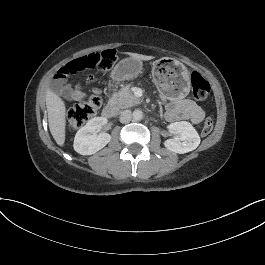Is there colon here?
Here are the masks:
<instances>
[{
  "label": "colon",
  "instance_id": "obj_1",
  "mask_svg": "<svg viewBox=\"0 0 265 265\" xmlns=\"http://www.w3.org/2000/svg\"><path fill=\"white\" fill-rule=\"evenodd\" d=\"M115 61L116 52L114 50L91 53L67 63L56 72L55 78L63 80L68 76L85 69H95L99 72H106L112 68ZM190 80L194 98L198 101L207 99L211 91L209 83L195 71L191 73ZM101 105V93L98 89H93L84 101L75 104L69 110V126L71 128H79L83 126L89 119L96 115ZM214 123L213 117H207L202 126V134H210L214 128Z\"/></svg>",
  "mask_w": 265,
  "mask_h": 265
}]
</instances>
